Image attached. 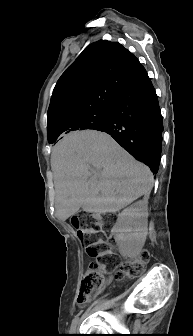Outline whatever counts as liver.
Returning a JSON list of instances; mask_svg holds the SVG:
<instances>
[{"mask_svg": "<svg viewBox=\"0 0 193 336\" xmlns=\"http://www.w3.org/2000/svg\"><path fill=\"white\" fill-rule=\"evenodd\" d=\"M55 213L65 221L80 208L96 215L117 212L153 187L149 167L133 158L108 134L74 132L51 154Z\"/></svg>", "mask_w": 193, "mask_h": 336, "instance_id": "obj_1", "label": "liver"}]
</instances>
